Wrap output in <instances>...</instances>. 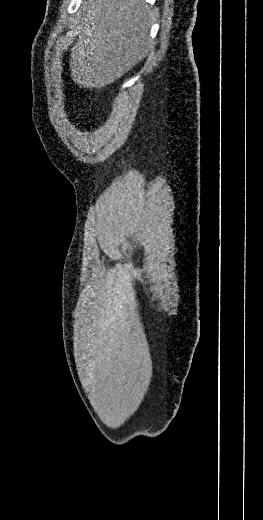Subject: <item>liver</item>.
<instances>
[{
    "instance_id": "liver-1",
    "label": "liver",
    "mask_w": 263,
    "mask_h": 520,
    "mask_svg": "<svg viewBox=\"0 0 263 520\" xmlns=\"http://www.w3.org/2000/svg\"><path fill=\"white\" fill-rule=\"evenodd\" d=\"M82 15L71 49V77L80 87L101 89L148 53L153 10L145 0H87Z\"/></svg>"
}]
</instances>
